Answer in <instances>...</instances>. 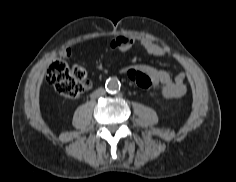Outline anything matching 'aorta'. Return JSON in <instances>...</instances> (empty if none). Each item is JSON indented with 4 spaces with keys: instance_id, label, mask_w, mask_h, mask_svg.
Returning a JSON list of instances; mask_svg holds the SVG:
<instances>
[{
    "instance_id": "obj_1",
    "label": "aorta",
    "mask_w": 236,
    "mask_h": 182,
    "mask_svg": "<svg viewBox=\"0 0 236 182\" xmlns=\"http://www.w3.org/2000/svg\"><path fill=\"white\" fill-rule=\"evenodd\" d=\"M105 88L110 93H115L120 89V81L117 78H109L106 81Z\"/></svg>"
}]
</instances>
